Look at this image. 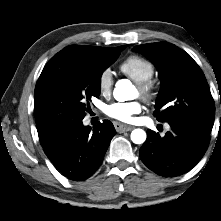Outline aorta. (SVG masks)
<instances>
[{
	"label": "aorta",
	"mask_w": 221,
	"mask_h": 221,
	"mask_svg": "<svg viewBox=\"0 0 221 221\" xmlns=\"http://www.w3.org/2000/svg\"><path fill=\"white\" fill-rule=\"evenodd\" d=\"M135 87L128 79H121L117 81L113 95L117 101L123 102L131 100ZM131 140L135 144H142L146 140V132L142 129H134L131 133Z\"/></svg>",
	"instance_id": "1"
}]
</instances>
